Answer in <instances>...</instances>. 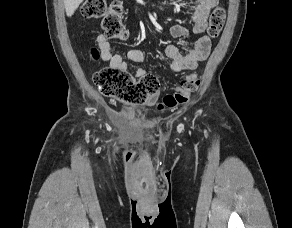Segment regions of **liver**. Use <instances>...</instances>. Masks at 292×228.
<instances>
[{
	"instance_id": "6515ba94",
	"label": "liver",
	"mask_w": 292,
	"mask_h": 228,
	"mask_svg": "<svg viewBox=\"0 0 292 228\" xmlns=\"http://www.w3.org/2000/svg\"><path fill=\"white\" fill-rule=\"evenodd\" d=\"M83 0H64L66 15L71 17Z\"/></svg>"
}]
</instances>
